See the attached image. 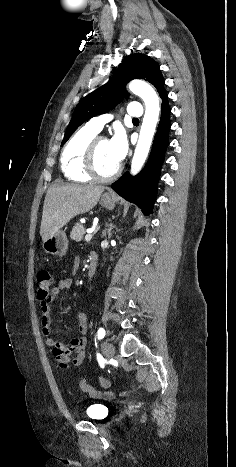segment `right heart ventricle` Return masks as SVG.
<instances>
[{
    "mask_svg": "<svg viewBox=\"0 0 236 467\" xmlns=\"http://www.w3.org/2000/svg\"><path fill=\"white\" fill-rule=\"evenodd\" d=\"M97 131L89 126L79 129L68 141L60 158L61 170L65 178L73 182H88L92 178L84 168L85 151Z\"/></svg>",
    "mask_w": 236,
    "mask_h": 467,
    "instance_id": "obj_1",
    "label": "right heart ventricle"
}]
</instances>
